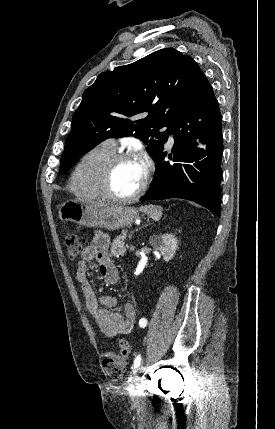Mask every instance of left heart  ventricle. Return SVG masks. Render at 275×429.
I'll list each match as a JSON object with an SVG mask.
<instances>
[{
	"instance_id": "b2bd125f",
	"label": "left heart ventricle",
	"mask_w": 275,
	"mask_h": 429,
	"mask_svg": "<svg viewBox=\"0 0 275 429\" xmlns=\"http://www.w3.org/2000/svg\"><path fill=\"white\" fill-rule=\"evenodd\" d=\"M144 171L139 160L133 159L119 163L111 178V190L118 196H128L141 185Z\"/></svg>"
}]
</instances>
